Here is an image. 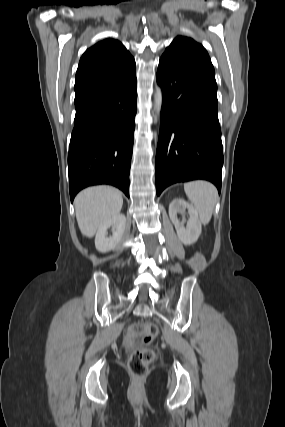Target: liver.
<instances>
[{
    "label": "liver",
    "mask_w": 285,
    "mask_h": 427,
    "mask_svg": "<svg viewBox=\"0 0 285 427\" xmlns=\"http://www.w3.org/2000/svg\"><path fill=\"white\" fill-rule=\"evenodd\" d=\"M74 205L81 233L92 238L101 225L120 213L123 198L115 188L96 186L81 191Z\"/></svg>",
    "instance_id": "1"
}]
</instances>
